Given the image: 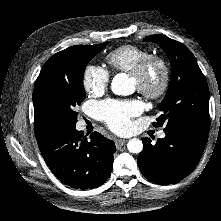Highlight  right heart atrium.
<instances>
[{"instance_id": "obj_1", "label": "right heart atrium", "mask_w": 221, "mask_h": 221, "mask_svg": "<svg viewBox=\"0 0 221 221\" xmlns=\"http://www.w3.org/2000/svg\"><path fill=\"white\" fill-rule=\"evenodd\" d=\"M110 74L105 69L89 64L83 71V86L88 94L103 93L109 86Z\"/></svg>"}]
</instances>
